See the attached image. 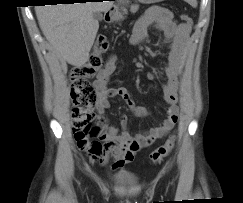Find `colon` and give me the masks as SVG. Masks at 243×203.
Wrapping results in <instances>:
<instances>
[{"mask_svg": "<svg viewBox=\"0 0 243 203\" xmlns=\"http://www.w3.org/2000/svg\"><path fill=\"white\" fill-rule=\"evenodd\" d=\"M182 20L187 26L192 25V18L183 14ZM108 49L105 38L97 39L88 61L76 66L70 73L72 109V131L78 146H86L90 141L92 124L96 119L94 106L98 99L97 91L92 83L95 74L101 70L105 61L102 55ZM174 146V137H169L164 144L156 148L150 155V161L154 164L168 156Z\"/></svg>", "mask_w": 243, "mask_h": 203, "instance_id": "colon-1", "label": "colon"}]
</instances>
